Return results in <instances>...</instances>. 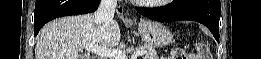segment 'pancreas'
Listing matches in <instances>:
<instances>
[{"label": "pancreas", "instance_id": "1", "mask_svg": "<svg viewBox=\"0 0 261 59\" xmlns=\"http://www.w3.org/2000/svg\"><path fill=\"white\" fill-rule=\"evenodd\" d=\"M137 51H145L146 53L143 55V59H158L157 51L154 47H151L147 44L139 45L137 47L130 46L127 48L126 52L133 54Z\"/></svg>", "mask_w": 261, "mask_h": 59}]
</instances>
